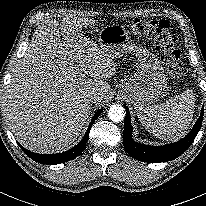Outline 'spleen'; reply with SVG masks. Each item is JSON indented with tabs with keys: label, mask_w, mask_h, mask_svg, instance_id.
<instances>
[{
	"label": "spleen",
	"mask_w": 206,
	"mask_h": 206,
	"mask_svg": "<svg viewBox=\"0 0 206 206\" xmlns=\"http://www.w3.org/2000/svg\"><path fill=\"white\" fill-rule=\"evenodd\" d=\"M195 96L192 90L138 113L144 128L159 139L174 140L184 135L193 120Z\"/></svg>",
	"instance_id": "spleen-1"
}]
</instances>
